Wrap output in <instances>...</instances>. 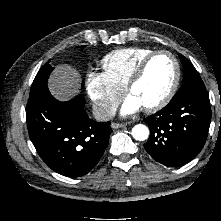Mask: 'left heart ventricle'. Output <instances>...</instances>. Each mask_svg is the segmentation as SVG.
<instances>
[{
	"label": "left heart ventricle",
	"mask_w": 221,
	"mask_h": 221,
	"mask_svg": "<svg viewBox=\"0 0 221 221\" xmlns=\"http://www.w3.org/2000/svg\"><path fill=\"white\" fill-rule=\"evenodd\" d=\"M175 74L172 59L161 54L148 65L143 78L133 87L130 95L135 97L142 107L159 101L170 88Z\"/></svg>",
	"instance_id": "left-heart-ventricle-1"
}]
</instances>
